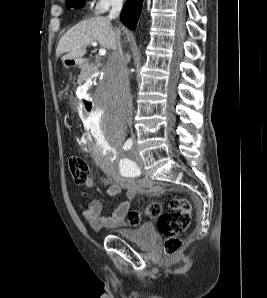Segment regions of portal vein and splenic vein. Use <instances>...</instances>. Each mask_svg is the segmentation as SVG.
<instances>
[{"label":"portal vein and splenic vein","instance_id":"18ae733b","mask_svg":"<svg viewBox=\"0 0 267 298\" xmlns=\"http://www.w3.org/2000/svg\"><path fill=\"white\" fill-rule=\"evenodd\" d=\"M91 45H92V46H97V42L94 41V42L91 43ZM99 54L102 55V56H104V55L106 54V49H105V48H101V49L99 50Z\"/></svg>","mask_w":267,"mask_h":298}]
</instances>
